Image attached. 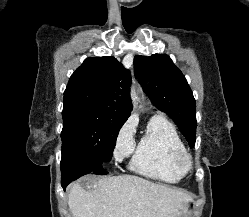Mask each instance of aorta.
I'll use <instances>...</instances> for the list:
<instances>
[{
	"label": "aorta",
	"instance_id": "762f6f07",
	"mask_svg": "<svg viewBox=\"0 0 249 217\" xmlns=\"http://www.w3.org/2000/svg\"><path fill=\"white\" fill-rule=\"evenodd\" d=\"M131 98H132L133 104L136 105L137 104V96H136V91H135L134 86H132V88H131Z\"/></svg>",
	"mask_w": 249,
	"mask_h": 217
}]
</instances>
